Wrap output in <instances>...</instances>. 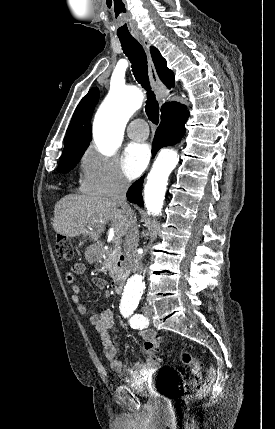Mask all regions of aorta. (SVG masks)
I'll return each instance as SVG.
<instances>
[{
    "mask_svg": "<svg viewBox=\"0 0 275 429\" xmlns=\"http://www.w3.org/2000/svg\"><path fill=\"white\" fill-rule=\"evenodd\" d=\"M142 94L136 88H113L100 106L94 121V139L102 154L111 155L120 146L126 123L141 106ZM178 161L176 151H163L148 174L144 188V202L148 213H161L168 177ZM144 282L139 275L132 276L124 289L122 301L136 304Z\"/></svg>",
    "mask_w": 275,
    "mask_h": 429,
    "instance_id": "aorta-1",
    "label": "aorta"
}]
</instances>
